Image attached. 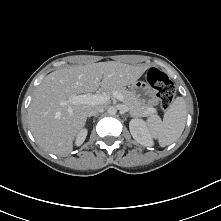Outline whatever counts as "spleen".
Wrapping results in <instances>:
<instances>
[{"instance_id": "spleen-1", "label": "spleen", "mask_w": 221, "mask_h": 221, "mask_svg": "<svg viewBox=\"0 0 221 221\" xmlns=\"http://www.w3.org/2000/svg\"><path fill=\"white\" fill-rule=\"evenodd\" d=\"M187 118L186 102L177 97L165 112L163 121L157 115L147 120V127L152 137L160 146L165 147L175 142L183 133Z\"/></svg>"}]
</instances>
